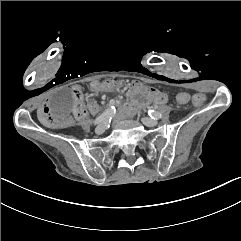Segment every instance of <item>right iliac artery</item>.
Segmentation results:
<instances>
[{"label": "right iliac artery", "mask_w": 241, "mask_h": 241, "mask_svg": "<svg viewBox=\"0 0 241 241\" xmlns=\"http://www.w3.org/2000/svg\"><path fill=\"white\" fill-rule=\"evenodd\" d=\"M115 114V107L111 106V108L107 109L104 113H102L100 116H98L95 121L94 124H101L104 122H108L112 119V117Z\"/></svg>", "instance_id": "82829eb1"}]
</instances>
